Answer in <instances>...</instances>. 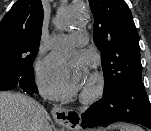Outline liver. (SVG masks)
Listing matches in <instances>:
<instances>
[{
  "label": "liver",
  "instance_id": "6515ba94",
  "mask_svg": "<svg viewBox=\"0 0 151 131\" xmlns=\"http://www.w3.org/2000/svg\"><path fill=\"white\" fill-rule=\"evenodd\" d=\"M46 109L33 98L0 92V131H51Z\"/></svg>",
  "mask_w": 151,
  "mask_h": 131
}]
</instances>
